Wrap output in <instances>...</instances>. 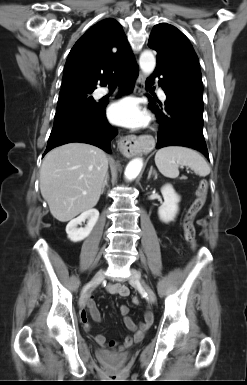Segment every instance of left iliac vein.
I'll return each instance as SVG.
<instances>
[{"instance_id": "left-iliac-vein-1", "label": "left iliac vein", "mask_w": 247, "mask_h": 385, "mask_svg": "<svg viewBox=\"0 0 247 385\" xmlns=\"http://www.w3.org/2000/svg\"><path fill=\"white\" fill-rule=\"evenodd\" d=\"M128 280L131 284L141 286L143 288L144 292L146 293L147 300L149 302H156L155 292L147 283H145L139 271H137L136 269H130V276Z\"/></svg>"}]
</instances>
